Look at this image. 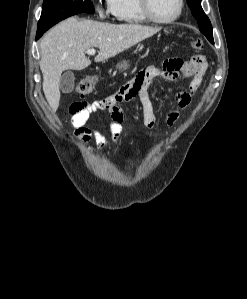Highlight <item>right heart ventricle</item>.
Here are the masks:
<instances>
[{"label":"right heart ventricle","mask_w":247,"mask_h":299,"mask_svg":"<svg viewBox=\"0 0 247 299\" xmlns=\"http://www.w3.org/2000/svg\"><path fill=\"white\" fill-rule=\"evenodd\" d=\"M109 9L116 20L128 24H144L149 20L143 14L139 0H109Z\"/></svg>","instance_id":"e07e8e85"}]
</instances>
